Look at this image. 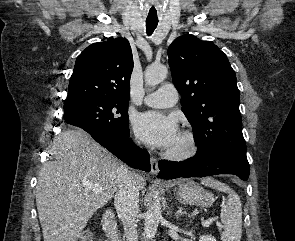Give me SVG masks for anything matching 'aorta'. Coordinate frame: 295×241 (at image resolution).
Masks as SVG:
<instances>
[{"mask_svg":"<svg viewBox=\"0 0 295 241\" xmlns=\"http://www.w3.org/2000/svg\"><path fill=\"white\" fill-rule=\"evenodd\" d=\"M168 75V69L164 65H151L147 67L144 74L146 85L156 86L166 79ZM161 218V204L158 200L153 201L145 217L144 232L148 239L155 237L158 223Z\"/></svg>","mask_w":295,"mask_h":241,"instance_id":"762f6f07","label":"aorta"}]
</instances>
